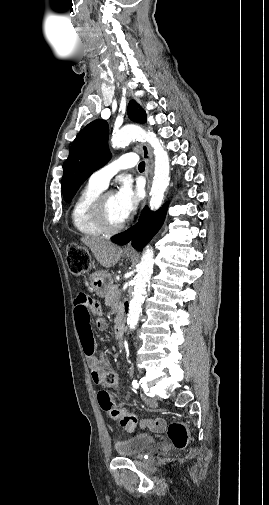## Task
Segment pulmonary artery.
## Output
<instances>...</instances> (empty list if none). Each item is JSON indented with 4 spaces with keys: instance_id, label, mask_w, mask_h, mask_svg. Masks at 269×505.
I'll return each mask as SVG.
<instances>
[{
    "instance_id": "e3ab8cb5",
    "label": "pulmonary artery",
    "mask_w": 269,
    "mask_h": 505,
    "mask_svg": "<svg viewBox=\"0 0 269 505\" xmlns=\"http://www.w3.org/2000/svg\"><path fill=\"white\" fill-rule=\"evenodd\" d=\"M137 160V155L133 153L121 155L117 159L95 171L90 176L89 182L104 189L116 173L122 169L135 166L137 164Z\"/></svg>"
}]
</instances>
